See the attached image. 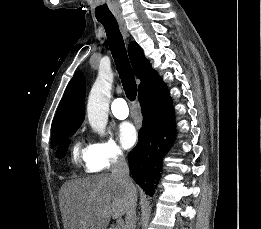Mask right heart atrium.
Instances as JSON below:
<instances>
[{"instance_id":"obj_1","label":"right heart atrium","mask_w":261,"mask_h":229,"mask_svg":"<svg viewBox=\"0 0 261 229\" xmlns=\"http://www.w3.org/2000/svg\"><path fill=\"white\" fill-rule=\"evenodd\" d=\"M88 169L101 172L119 166L125 161V154L119 144L111 138H101L89 144Z\"/></svg>"}]
</instances>
